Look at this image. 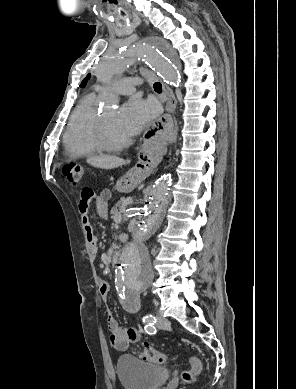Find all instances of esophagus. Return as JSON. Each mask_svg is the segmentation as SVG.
Segmentation results:
<instances>
[{
    "mask_svg": "<svg viewBox=\"0 0 296 389\" xmlns=\"http://www.w3.org/2000/svg\"><path fill=\"white\" fill-rule=\"evenodd\" d=\"M162 87L166 99L165 107L168 112H162L163 116L159 120L153 118L151 126L145 129V136L150 139L149 146L145 144L141 146L135 169H157L159 163L163 161V152L160 148L162 145L161 139H165L167 132L173 130L177 101L173 91L167 84L162 82Z\"/></svg>",
    "mask_w": 296,
    "mask_h": 389,
    "instance_id": "1",
    "label": "esophagus"
}]
</instances>
